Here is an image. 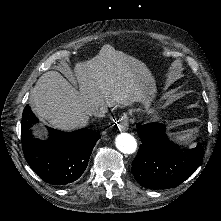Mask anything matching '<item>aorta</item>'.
Returning <instances> with one entry per match:
<instances>
[{
	"label": "aorta",
	"mask_w": 221,
	"mask_h": 221,
	"mask_svg": "<svg viewBox=\"0 0 221 221\" xmlns=\"http://www.w3.org/2000/svg\"><path fill=\"white\" fill-rule=\"evenodd\" d=\"M115 144L117 149L124 154H132L137 149L136 139L128 133L119 134L116 137Z\"/></svg>",
	"instance_id": "1"
}]
</instances>
